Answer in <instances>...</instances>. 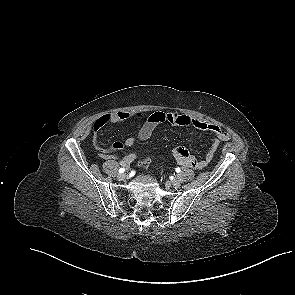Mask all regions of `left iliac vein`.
Here are the masks:
<instances>
[{
    "instance_id": "4c4485c4",
    "label": "left iliac vein",
    "mask_w": 295,
    "mask_h": 295,
    "mask_svg": "<svg viewBox=\"0 0 295 295\" xmlns=\"http://www.w3.org/2000/svg\"><path fill=\"white\" fill-rule=\"evenodd\" d=\"M171 184L175 188H179L181 186V182H180V180H178V178L176 180L172 181Z\"/></svg>"
}]
</instances>
